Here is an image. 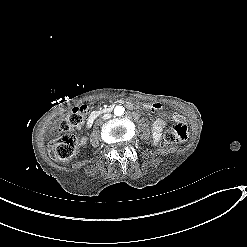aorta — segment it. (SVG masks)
<instances>
[{
  "instance_id": "762f6f07",
  "label": "aorta",
  "mask_w": 247,
  "mask_h": 247,
  "mask_svg": "<svg viewBox=\"0 0 247 247\" xmlns=\"http://www.w3.org/2000/svg\"><path fill=\"white\" fill-rule=\"evenodd\" d=\"M125 113V108L123 106H116L114 109V114L116 116H122Z\"/></svg>"
}]
</instances>
